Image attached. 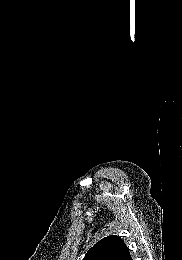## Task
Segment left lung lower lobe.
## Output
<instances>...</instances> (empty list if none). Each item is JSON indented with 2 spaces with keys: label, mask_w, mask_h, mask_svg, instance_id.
I'll use <instances>...</instances> for the list:
<instances>
[{
  "label": "left lung lower lobe",
  "mask_w": 182,
  "mask_h": 260,
  "mask_svg": "<svg viewBox=\"0 0 182 260\" xmlns=\"http://www.w3.org/2000/svg\"><path fill=\"white\" fill-rule=\"evenodd\" d=\"M126 260H132L131 256L129 255L128 258Z\"/></svg>",
  "instance_id": "1"
}]
</instances>
